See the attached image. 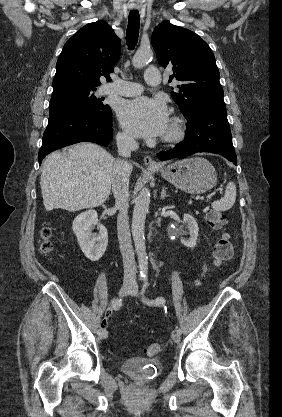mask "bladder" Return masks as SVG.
I'll return each instance as SVG.
<instances>
[{
    "label": "bladder",
    "mask_w": 282,
    "mask_h": 417,
    "mask_svg": "<svg viewBox=\"0 0 282 417\" xmlns=\"http://www.w3.org/2000/svg\"><path fill=\"white\" fill-rule=\"evenodd\" d=\"M120 369L133 380L139 383H146L160 373L161 365L153 359L128 357L122 361Z\"/></svg>",
    "instance_id": "1"
}]
</instances>
